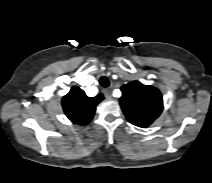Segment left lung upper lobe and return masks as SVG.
<instances>
[{
  "label": "left lung upper lobe",
  "mask_w": 212,
  "mask_h": 183,
  "mask_svg": "<svg viewBox=\"0 0 212 183\" xmlns=\"http://www.w3.org/2000/svg\"><path fill=\"white\" fill-rule=\"evenodd\" d=\"M120 105L127 120L139 127H148L162 112L163 99L153 86L133 81L121 87Z\"/></svg>",
  "instance_id": "obj_1"
}]
</instances>
